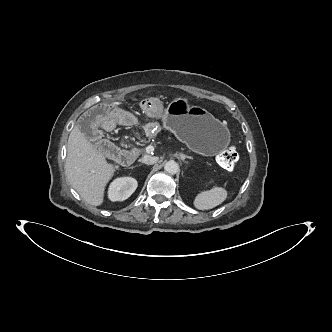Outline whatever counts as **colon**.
<instances>
[{"mask_svg":"<svg viewBox=\"0 0 332 332\" xmlns=\"http://www.w3.org/2000/svg\"><path fill=\"white\" fill-rule=\"evenodd\" d=\"M97 148L103 153H110L115 150L114 145L107 139H101L97 142ZM239 160L238 153L234 146H229L222 151L218 156V161L221 167L232 171Z\"/></svg>","mask_w":332,"mask_h":332,"instance_id":"obj_1","label":"colon"}]
</instances>
